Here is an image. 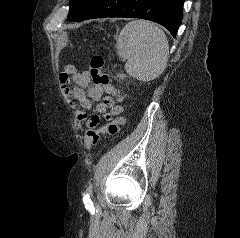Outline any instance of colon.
I'll return each mask as SVG.
<instances>
[{"label": "colon", "mask_w": 240, "mask_h": 238, "mask_svg": "<svg viewBox=\"0 0 240 238\" xmlns=\"http://www.w3.org/2000/svg\"><path fill=\"white\" fill-rule=\"evenodd\" d=\"M104 59L100 54H96L90 61V76L94 83L103 86L106 92L114 95L119 101L122 99L121 95L111 84L110 76L103 71ZM124 124V116L120 115L100 127L90 128L84 138V145L87 149H91L96 145L102 135H115L119 132L121 126Z\"/></svg>", "instance_id": "1"}]
</instances>
